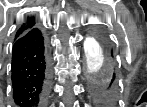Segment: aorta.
<instances>
[{
	"instance_id": "762f6f07",
	"label": "aorta",
	"mask_w": 147,
	"mask_h": 107,
	"mask_svg": "<svg viewBox=\"0 0 147 107\" xmlns=\"http://www.w3.org/2000/svg\"><path fill=\"white\" fill-rule=\"evenodd\" d=\"M86 59L88 72L93 78L107 77L112 73L106 52L93 39L86 42Z\"/></svg>"
}]
</instances>
